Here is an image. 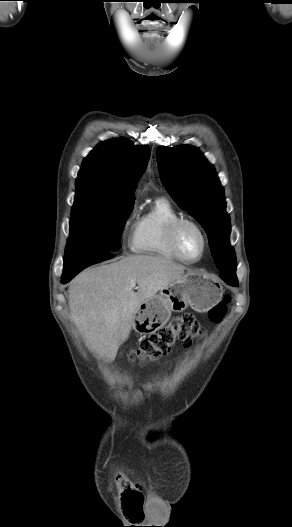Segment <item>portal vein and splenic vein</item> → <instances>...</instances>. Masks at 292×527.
<instances>
[{
	"instance_id": "obj_1",
	"label": "portal vein and splenic vein",
	"mask_w": 292,
	"mask_h": 527,
	"mask_svg": "<svg viewBox=\"0 0 292 527\" xmlns=\"http://www.w3.org/2000/svg\"><path fill=\"white\" fill-rule=\"evenodd\" d=\"M136 286V282L132 281L131 282V287L134 288Z\"/></svg>"
}]
</instances>
